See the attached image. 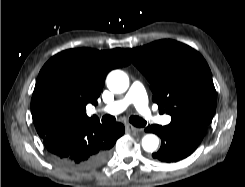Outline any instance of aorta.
Listing matches in <instances>:
<instances>
[{"label":"aorta","mask_w":245,"mask_h":187,"mask_svg":"<svg viewBox=\"0 0 245 187\" xmlns=\"http://www.w3.org/2000/svg\"><path fill=\"white\" fill-rule=\"evenodd\" d=\"M107 87L113 93H124L129 87V78L121 70L110 72L106 79ZM159 145V139L154 134H148L142 139V147L147 152H154Z\"/></svg>","instance_id":"obj_1"}]
</instances>
